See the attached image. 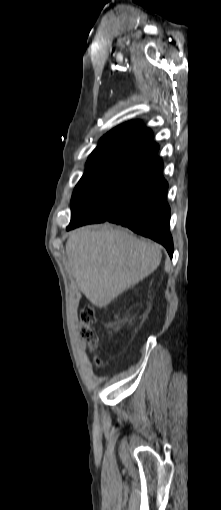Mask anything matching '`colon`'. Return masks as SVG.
Wrapping results in <instances>:
<instances>
[{
	"mask_svg": "<svg viewBox=\"0 0 221 510\" xmlns=\"http://www.w3.org/2000/svg\"><path fill=\"white\" fill-rule=\"evenodd\" d=\"M80 320L83 325L81 329L82 338L88 343L90 350L97 347L98 337L93 328L95 322V310L91 306L82 307L80 310ZM94 365L96 367L101 366V361L98 358H94Z\"/></svg>",
	"mask_w": 221,
	"mask_h": 510,
	"instance_id": "colon-1",
	"label": "colon"
}]
</instances>
